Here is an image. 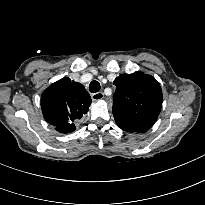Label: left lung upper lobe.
I'll use <instances>...</instances> for the list:
<instances>
[{
  "instance_id": "1",
  "label": "left lung upper lobe",
  "mask_w": 205,
  "mask_h": 205,
  "mask_svg": "<svg viewBox=\"0 0 205 205\" xmlns=\"http://www.w3.org/2000/svg\"><path fill=\"white\" fill-rule=\"evenodd\" d=\"M113 115L126 132L145 133L155 123L162 107L159 82L142 72L121 74L114 80Z\"/></svg>"
}]
</instances>
